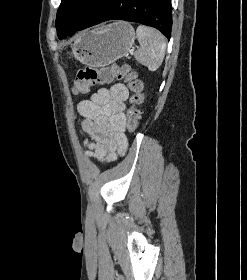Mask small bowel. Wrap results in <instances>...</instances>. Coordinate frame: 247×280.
<instances>
[{"label": "small bowel", "mask_w": 247, "mask_h": 280, "mask_svg": "<svg viewBox=\"0 0 247 280\" xmlns=\"http://www.w3.org/2000/svg\"><path fill=\"white\" fill-rule=\"evenodd\" d=\"M129 95L123 84L102 88L78 104L81 127L89 135L87 154L100 161L114 160L127 148L125 101Z\"/></svg>", "instance_id": "obj_1"}]
</instances>
